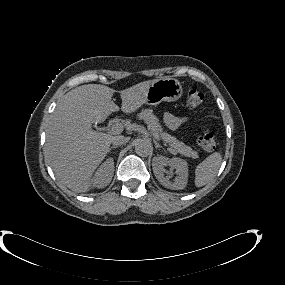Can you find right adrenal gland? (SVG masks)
Here are the masks:
<instances>
[{
    "mask_svg": "<svg viewBox=\"0 0 285 285\" xmlns=\"http://www.w3.org/2000/svg\"><path fill=\"white\" fill-rule=\"evenodd\" d=\"M117 147H118V146L113 145L112 147L109 148L108 152L110 153V151H111L112 149L117 148Z\"/></svg>",
    "mask_w": 285,
    "mask_h": 285,
    "instance_id": "obj_1",
    "label": "right adrenal gland"
}]
</instances>
